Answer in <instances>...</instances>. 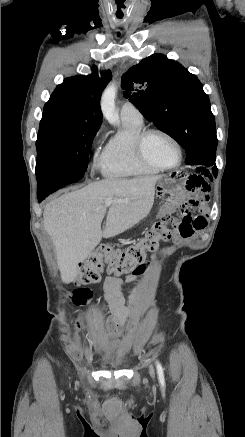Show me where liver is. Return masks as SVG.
<instances>
[{
	"label": "liver",
	"instance_id": "liver-1",
	"mask_svg": "<svg viewBox=\"0 0 245 437\" xmlns=\"http://www.w3.org/2000/svg\"><path fill=\"white\" fill-rule=\"evenodd\" d=\"M161 176L134 179H106L51 200L44 208L43 222L56 249L58 267L64 283L72 282L83 262L102 238L119 235L138 224L150 213L155 185ZM113 202L106 214L105 202Z\"/></svg>",
	"mask_w": 245,
	"mask_h": 437
}]
</instances>
